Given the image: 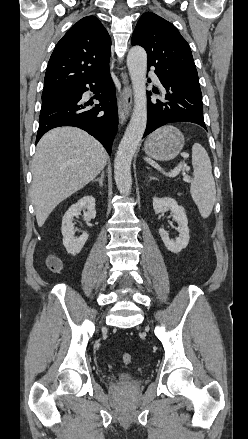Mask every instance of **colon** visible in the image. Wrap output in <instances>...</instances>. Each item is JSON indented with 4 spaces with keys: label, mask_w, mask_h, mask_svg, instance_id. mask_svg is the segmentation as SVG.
<instances>
[{
    "label": "colon",
    "mask_w": 248,
    "mask_h": 439,
    "mask_svg": "<svg viewBox=\"0 0 248 439\" xmlns=\"http://www.w3.org/2000/svg\"><path fill=\"white\" fill-rule=\"evenodd\" d=\"M47 265L49 269L53 272H58L61 269V262L57 257L51 256L48 258ZM122 361L125 364H130L132 361V356L129 353L122 354Z\"/></svg>",
    "instance_id": "5ec220e1"
}]
</instances>
